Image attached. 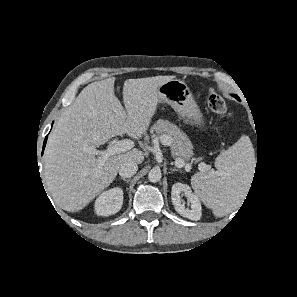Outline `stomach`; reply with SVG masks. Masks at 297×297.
Returning a JSON list of instances; mask_svg holds the SVG:
<instances>
[{
	"instance_id": "stomach-1",
	"label": "stomach",
	"mask_w": 297,
	"mask_h": 297,
	"mask_svg": "<svg viewBox=\"0 0 297 297\" xmlns=\"http://www.w3.org/2000/svg\"><path fill=\"white\" fill-rule=\"evenodd\" d=\"M158 102L169 104L174 111L192 126L205 127L203 114L187 84L171 79L157 88Z\"/></svg>"
}]
</instances>
